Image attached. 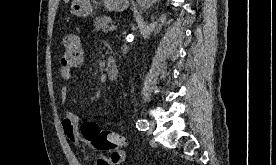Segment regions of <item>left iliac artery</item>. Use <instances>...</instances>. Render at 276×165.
Returning <instances> with one entry per match:
<instances>
[{"label":"left iliac artery","instance_id":"1","mask_svg":"<svg viewBox=\"0 0 276 165\" xmlns=\"http://www.w3.org/2000/svg\"><path fill=\"white\" fill-rule=\"evenodd\" d=\"M136 127L138 128V130L146 131L149 128V123L147 120L141 119L138 120V122L136 123Z\"/></svg>","mask_w":276,"mask_h":165}]
</instances>
